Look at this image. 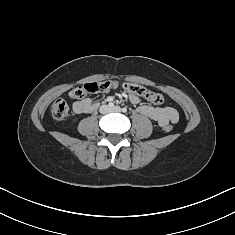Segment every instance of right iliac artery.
Masks as SVG:
<instances>
[{"instance_id":"right-iliac-artery-1","label":"right iliac artery","mask_w":235,"mask_h":235,"mask_svg":"<svg viewBox=\"0 0 235 235\" xmlns=\"http://www.w3.org/2000/svg\"><path fill=\"white\" fill-rule=\"evenodd\" d=\"M108 105L109 107H114V104L112 102H110Z\"/></svg>"}]
</instances>
